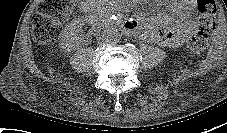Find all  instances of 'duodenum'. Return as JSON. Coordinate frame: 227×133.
I'll return each mask as SVG.
<instances>
[{
    "label": "duodenum",
    "mask_w": 227,
    "mask_h": 133,
    "mask_svg": "<svg viewBox=\"0 0 227 133\" xmlns=\"http://www.w3.org/2000/svg\"><path fill=\"white\" fill-rule=\"evenodd\" d=\"M112 16H114V14H109L108 18L103 20L102 27L104 30H129L128 24L120 19H113Z\"/></svg>",
    "instance_id": "duodenum-1"
}]
</instances>
